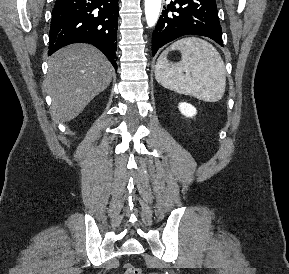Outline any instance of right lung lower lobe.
Masks as SVG:
<instances>
[{
  "instance_id": "98d812e1",
  "label": "right lung lower lobe",
  "mask_w": 289,
  "mask_h": 274,
  "mask_svg": "<svg viewBox=\"0 0 289 274\" xmlns=\"http://www.w3.org/2000/svg\"><path fill=\"white\" fill-rule=\"evenodd\" d=\"M118 15V0H56L49 55L71 43H89L100 49L116 68Z\"/></svg>"
}]
</instances>
